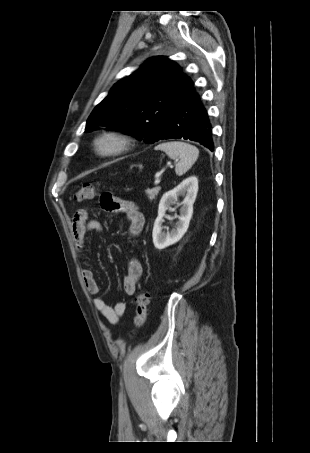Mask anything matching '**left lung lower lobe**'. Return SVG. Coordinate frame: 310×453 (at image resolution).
<instances>
[{
    "instance_id": "1",
    "label": "left lung lower lobe",
    "mask_w": 310,
    "mask_h": 453,
    "mask_svg": "<svg viewBox=\"0 0 310 453\" xmlns=\"http://www.w3.org/2000/svg\"><path fill=\"white\" fill-rule=\"evenodd\" d=\"M211 128L207 110L189 78L160 140L189 139L213 151Z\"/></svg>"
}]
</instances>
